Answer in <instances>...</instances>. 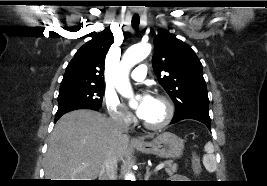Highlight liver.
Masks as SVG:
<instances>
[{"label": "liver", "instance_id": "1", "mask_svg": "<svg viewBox=\"0 0 267 186\" xmlns=\"http://www.w3.org/2000/svg\"><path fill=\"white\" fill-rule=\"evenodd\" d=\"M128 146L127 134L113 133L111 119L92 110L72 111L59 119L50 135L45 178L95 180L108 153L122 160Z\"/></svg>", "mask_w": 267, "mask_h": 186}]
</instances>
